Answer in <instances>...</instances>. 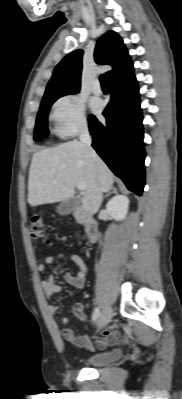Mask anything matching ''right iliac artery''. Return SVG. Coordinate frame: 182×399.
<instances>
[{"label":"right iliac artery","mask_w":182,"mask_h":399,"mask_svg":"<svg viewBox=\"0 0 182 399\" xmlns=\"http://www.w3.org/2000/svg\"><path fill=\"white\" fill-rule=\"evenodd\" d=\"M99 315H100V310H99V308H95V309H94V312H93V314H92V319H93V321H96V320L98 319Z\"/></svg>","instance_id":"right-iliac-artery-1"}]
</instances>
